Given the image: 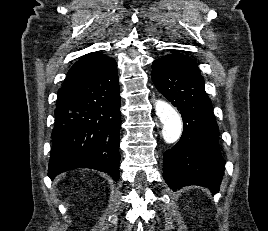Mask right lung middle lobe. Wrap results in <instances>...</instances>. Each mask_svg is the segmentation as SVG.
I'll list each match as a JSON object with an SVG mask.
<instances>
[{
  "instance_id": "right-lung-middle-lobe-1",
  "label": "right lung middle lobe",
  "mask_w": 268,
  "mask_h": 231,
  "mask_svg": "<svg viewBox=\"0 0 268 231\" xmlns=\"http://www.w3.org/2000/svg\"><path fill=\"white\" fill-rule=\"evenodd\" d=\"M66 94V93H65ZM65 94L62 96L61 94H58V97H57V102L61 99V98H63L64 96H65Z\"/></svg>"
}]
</instances>
